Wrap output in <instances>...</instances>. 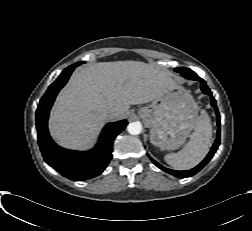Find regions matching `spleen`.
<instances>
[{
	"instance_id": "spleen-1",
	"label": "spleen",
	"mask_w": 252,
	"mask_h": 231,
	"mask_svg": "<svg viewBox=\"0 0 252 231\" xmlns=\"http://www.w3.org/2000/svg\"><path fill=\"white\" fill-rule=\"evenodd\" d=\"M212 125L205 111L197 117L194 132L189 142L178 153L165 156V161L176 170H189L198 165L207 155L211 146Z\"/></svg>"
}]
</instances>
